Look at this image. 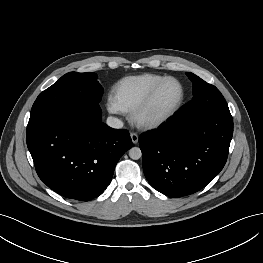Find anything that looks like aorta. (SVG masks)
<instances>
[{
  "mask_svg": "<svg viewBox=\"0 0 263 263\" xmlns=\"http://www.w3.org/2000/svg\"><path fill=\"white\" fill-rule=\"evenodd\" d=\"M129 156L131 159L133 160H138L141 158L142 156V152L140 150L139 147H132L130 150H129Z\"/></svg>",
  "mask_w": 263,
  "mask_h": 263,
  "instance_id": "aorta-1",
  "label": "aorta"
}]
</instances>
